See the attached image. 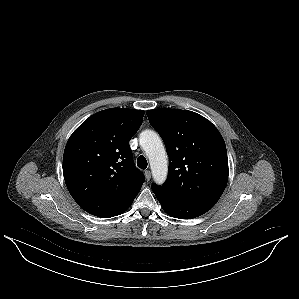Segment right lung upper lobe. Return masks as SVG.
<instances>
[{"mask_svg": "<svg viewBox=\"0 0 299 299\" xmlns=\"http://www.w3.org/2000/svg\"><path fill=\"white\" fill-rule=\"evenodd\" d=\"M144 111L106 109L86 119L70 136L63 155V174L73 199L88 213L107 205L108 218L130 207L144 183L133 162L129 140Z\"/></svg>", "mask_w": 299, "mask_h": 299, "instance_id": "obj_1", "label": "right lung upper lobe"}]
</instances>
